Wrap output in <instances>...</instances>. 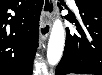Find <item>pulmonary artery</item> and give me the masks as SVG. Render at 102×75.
<instances>
[{
  "label": "pulmonary artery",
  "instance_id": "obj_1",
  "mask_svg": "<svg viewBox=\"0 0 102 75\" xmlns=\"http://www.w3.org/2000/svg\"><path fill=\"white\" fill-rule=\"evenodd\" d=\"M69 4L74 6L75 5V1L74 0H68Z\"/></svg>",
  "mask_w": 102,
  "mask_h": 75
}]
</instances>
